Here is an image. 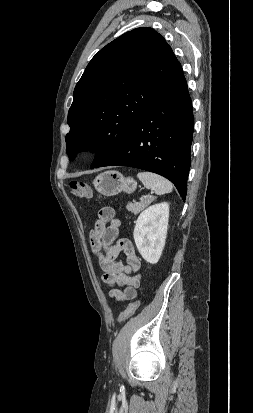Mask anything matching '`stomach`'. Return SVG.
Wrapping results in <instances>:
<instances>
[{"mask_svg": "<svg viewBox=\"0 0 253 413\" xmlns=\"http://www.w3.org/2000/svg\"><path fill=\"white\" fill-rule=\"evenodd\" d=\"M95 189L104 196H115L121 192L132 193L137 188V182L132 177H125L118 171H106L93 181Z\"/></svg>", "mask_w": 253, "mask_h": 413, "instance_id": "1", "label": "stomach"}]
</instances>
